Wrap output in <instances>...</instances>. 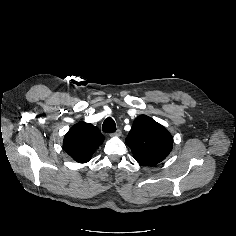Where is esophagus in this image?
Returning a JSON list of instances; mask_svg holds the SVG:
<instances>
[{
    "label": "esophagus",
    "mask_w": 236,
    "mask_h": 236,
    "mask_svg": "<svg viewBox=\"0 0 236 236\" xmlns=\"http://www.w3.org/2000/svg\"><path fill=\"white\" fill-rule=\"evenodd\" d=\"M113 136L120 137L122 135V131L120 129L116 130L114 133H112Z\"/></svg>",
    "instance_id": "1"
}]
</instances>
